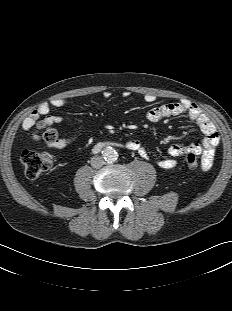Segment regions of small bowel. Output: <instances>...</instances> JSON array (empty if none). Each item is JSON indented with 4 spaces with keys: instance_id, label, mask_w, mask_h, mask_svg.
<instances>
[{
    "instance_id": "1",
    "label": "small bowel",
    "mask_w": 232,
    "mask_h": 311,
    "mask_svg": "<svg viewBox=\"0 0 232 311\" xmlns=\"http://www.w3.org/2000/svg\"><path fill=\"white\" fill-rule=\"evenodd\" d=\"M110 92L103 93L104 98L110 97ZM124 97H128L129 93L124 92ZM143 99L147 103L155 101L156 97L153 94L146 93ZM68 102L67 98L57 97L48 102H43L37 110L31 112L22 122V128L25 131H31V136L34 142H39L41 139V130L45 127L59 124L71 117L50 114L51 108H61ZM186 115L190 120L196 123L203 134V139L199 143L190 145L172 144L168 147L167 153L169 157L157 160L156 164L165 170L173 169L176 166V157L183 156L188 153H195L201 156L202 169L209 170L214 162L215 148L219 143L220 136L215 125L210 121L208 116L195 104H190L187 101L173 102L163 104L151 108L146 113V119L149 122H158L163 118ZM44 116V119L39 122V118ZM78 123L77 130L69 136L56 138L52 142H47V145L54 149H64L78 140L81 134L83 121L80 118H74ZM126 148L137 152L142 158H148V152L142 141L132 139L127 141Z\"/></svg>"
}]
</instances>
